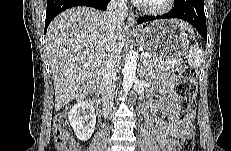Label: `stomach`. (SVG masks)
<instances>
[{
  "label": "stomach",
  "mask_w": 231,
  "mask_h": 151,
  "mask_svg": "<svg viewBox=\"0 0 231 151\" xmlns=\"http://www.w3.org/2000/svg\"><path fill=\"white\" fill-rule=\"evenodd\" d=\"M140 44L152 55L174 60L188 50L189 38L175 20L155 21L138 33Z\"/></svg>",
  "instance_id": "obj_1"
}]
</instances>
